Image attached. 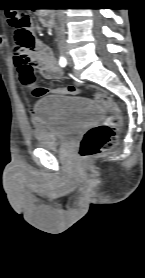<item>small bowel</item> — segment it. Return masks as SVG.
Returning a JSON list of instances; mask_svg holds the SVG:
<instances>
[{"mask_svg": "<svg viewBox=\"0 0 145 278\" xmlns=\"http://www.w3.org/2000/svg\"><path fill=\"white\" fill-rule=\"evenodd\" d=\"M2 1L3 0H1V2ZM33 49L34 51H32ZM34 52L39 60L37 69L45 80H56L62 75L60 64L48 46L44 45L40 41H36L30 47L22 48L14 39L12 45V55L14 63L19 70V79L22 85L25 79H29L33 76L32 67L34 63Z\"/></svg>", "mask_w": 145, "mask_h": 278, "instance_id": "1", "label": "small bowel"}]
</instances>
